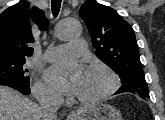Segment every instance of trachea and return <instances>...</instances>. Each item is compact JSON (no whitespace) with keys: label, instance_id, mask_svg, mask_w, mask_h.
<instances>
[{"label":"trachea","instance_id":"3493384b","mask_svg":"<svg viewBox=\"0 0 165 120\" xmlns=\"http://www.w3.org/2000/svg\"><path fill=\"white\" fill-rule=\"evenodd\" d=\"M61 2L62 0H51V8L54 16H56L59 13Z\"/></svg>","mask_w":165,"mask_h":120}]
</instances>
